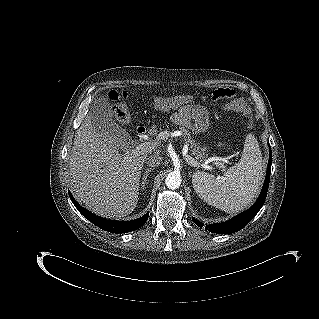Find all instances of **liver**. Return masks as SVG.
Segmentation results:
<instances>
[{"label": "liver", "mask_w": 319, "mask_h": 319, "mask_svg": "<svg viewBox=\"0 0 319 319\" xmlns=\"http://www.w3.org/2000/svg\"><path fill=\"white\" fill-rule=\"evenodd\" d=\"M147 153L120 154L115 140L100 135L89 112L75 133L69 156L70 187L91 212L121 218L136 208L140 174Z\"/></svg>", "instance_id": "6515ba94"}]
</instances>
